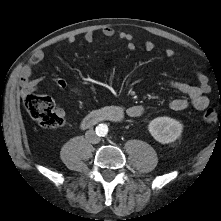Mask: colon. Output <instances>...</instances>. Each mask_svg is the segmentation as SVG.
Segmentation results:
<instances>
[{
  "label": "colon",
  "mask_w": 221,
  "mask_h": 221,
  "mask_svg": "<svg viewBox=\"0 0 221 221\" xmlns=\"http://www.w3.org/2000/svg\"><path fill=\"white\" fill-rule=\"evenodd\" d=\"M24 106L43 128L58 129L64 124V119L55 110L52 99L47 96L28 94L24 98ZM203 119L207 124H216L221 121L220 115L213 109L206 110Z\"/></svg>",
  "instance_id": "colon-1"
}]
</instances>
